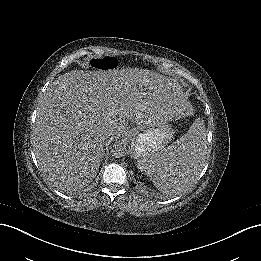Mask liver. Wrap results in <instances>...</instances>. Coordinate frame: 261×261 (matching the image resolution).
<instances>
[{"mask_svg": "<svg viewBox=\"0 0 261 261\" xmlns=\"http://www.w3.org/2000/svg\"><path fill=\"white\" fill-rule=\"evenodd\" d=\"M163 106L161 101L138 102L110 73L75 71L40 100L35 124L38 164L53 178L78 181L98 167L109 133L122 131L124 121L116 116L122 108H130L140 123L160 115Z\"/></svg>", "mask_w": 261, "mask_h": 261, "instance_id": "obj_1", "label": "liver"}]
</instances>
